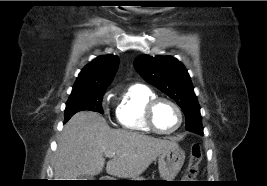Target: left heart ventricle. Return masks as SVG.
<instances>
[{"label":"left heart ventricle","instance_id":"1","mask_svg":"<svg viewBox=\"0 0 267 186\" xmlns=\"http://www.w3.org/2000/svg\"><path fill=\"white\" fill-rule=\"evenodd\" d=\"M154 122L160 130L170 131L178 123V114L172 105L160 102L154 111Z\"/></svg>","mask_w":267,"mask_h":186}]
</instances>
